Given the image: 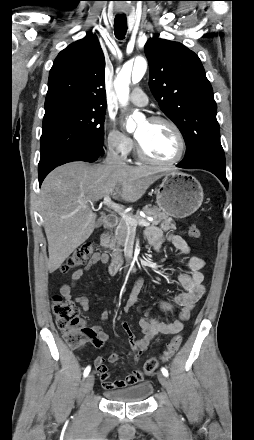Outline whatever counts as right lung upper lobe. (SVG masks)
Instances as JSON below:
<instances>
[{
    "label": "right lung upper lobe",
    "mask_w": 254,
    "mask_h": 440,
    "mask_svg": "<svg viewBox=\"0 0 254 440\" xmlns=\"http://www.w3.org/2000/svg\"><path fill=\"white\" fill-rule=\"evenodd\" d=\"M105 59L91 34L62 50L49 73L45 108L70 103L106 109Z\"/></svg>",
    "instance_id": "right-lung-upper-lobe-1"
}]
</instances>
